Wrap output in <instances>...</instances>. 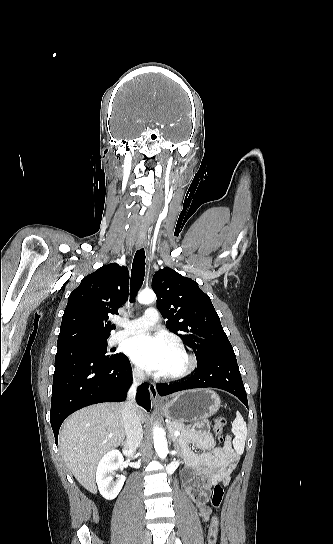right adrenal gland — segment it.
I'll list each match as a JSON object with an SVG mask.
<instances>
[{
  "mask_svg": "<svg viewBox=\"0 0 333 544\" xmlns=\"http://www.w3.org/2000/svg\"><path fill=\"white\" fill-rule=\"evenodd\" d=\"M123 445L126 446L127 445L126 442H123Z\"/></svg>",
  "mask_w": 333,
  "mask_h": 544,
  "instance_id": "obj_1",
  "label": "right adrenal gland"
}]
</instances>
